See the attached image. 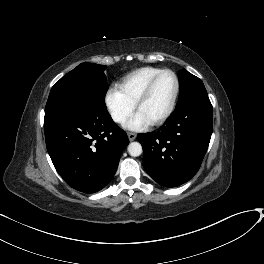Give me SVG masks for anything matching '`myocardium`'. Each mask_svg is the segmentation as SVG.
<instances>
[{
    "label": "myocardium",
    "mask_w": 264,
    "mask_h": 264,
    "mask_svg": "<svg viewBox=\"0 0 264 264\" xmlns=\"http://www.w3.org/2000/svg\"><path fill=\"white\" fill-rule=\"evenodd\" d=\"M171 74L175 80V90L171 99V102L168 106V108L166 109V111L160 116L158 117L156 120L150 122V125L153 126H157V125H161L162 123H164L173 113L174 108L176 106L177 103V99L179 96V91H180V82L178 79V76L176 75L175 72H173L170 69H164L161 70L159 73H157L155 76H153L150 81L147 83L146 87L144 88V90L142 91L141 95L139 96V98L137 99L136 103H135V109L136 111H138L139 107L148 99V97L150 96L152 89L154 87V85L156 84L157 80L163 75V74Z\"/></svg>",
    "instance_id": "myocardium-1"
}]
</instances>
